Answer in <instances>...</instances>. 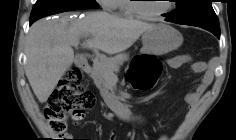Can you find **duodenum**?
<instances>
[{
	"label": "duodenum",
	"instance_id": "duodenum-1",
	"mask_svg": "<svg viewBox=\"0 0 236 140\" xmlns=\"http://www.w3.org/2000/svg\"><path fill=\"white\" fill-rule=\"evenodd\" d=\"M77 64L79 67H81L85 71L87 72L90 71V64L86 55H79L77 57ZM111 107L114 111H116L121 116H125L128 112V109L121 103H114L111 105Z\"/></svg>",
	"mask_w": 236,
	"mask_h": 140
}]
</instances>
